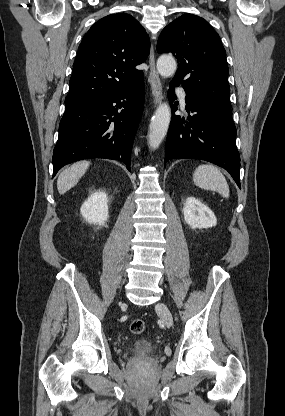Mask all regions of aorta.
Returning <instances> with one entry per match:
<instances>
[{
  "mask_svg": "<svg viewBox=\"0 0 285 416\" xmlns=\"http://www.w3.org/2000/svg\"><path fill=\"white\" fill-rule=\"evenodd\" d=\"M177 69L176 61L172 56L162 55L157 61V70L162 77L172 76ZM171 119L170 107L167 103L161 104L152 117L148 145L152 150L157 149L167 134Z\"/></svg>",
  "mask_w": 285,
  "mask_h": 416,
  "instance_id": "1",
  "label": "aorta"
}]
</instances>
